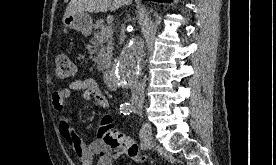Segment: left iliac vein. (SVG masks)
Listing matches in <instances>:
<instances>
[{
	"mask_svg": "<svg viewBox=\"0 0 276 165\" xmlns=\"http://www.w3.org/2000/svg\"><path fill=\"white\" fill-rule=\"evenodd\" d=\"M134 112H135V113H138V114H141V113H142V108H141V107H136V108L134 109Z\"/></svg>",
	"mask_w": 276,
	"mask_h": 165,
	"instance_id": "4c4485c4",
	"label": "left iliac vein"
}]
</instances>
